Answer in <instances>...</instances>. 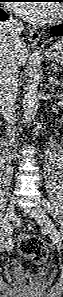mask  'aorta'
I'll return each mask as SVG.
<instances>
[{
	"instance_id": "aorta-1",
	"label": "aorta",
	"mask_w": 63,
	"mask_h": 297,
	"mask_svg": "<svg viewBox=\"0 0 63 297\" xmlns=\"http://www.w3.org/2000/svg\"><path fill=\"white\" fill-rule=\"evenodd\" d=\"M37 84V75L35 72H31L23 97L24 119L25 122L28 123L34 120L39 107V91Z\"/></svg>"
}]
</instances>
